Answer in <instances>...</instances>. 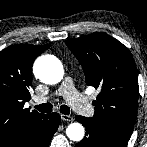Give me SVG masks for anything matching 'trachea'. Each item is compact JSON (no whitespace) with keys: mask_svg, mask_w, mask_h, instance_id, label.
Returning a JSON list of instances; mask_svg holds the SVG:
<instances>
[{"mask_svg":"<svg viewBox=\"0 0 147 147\" xmlns=\"http://www.w3.org/2000/svg\"><path fill=\"white\" fill-rule=\"evenodd\" d=\"M35 109L42 113H49L52 112L53 105L51 103H43L40 105L35 106ZM60 112L65 115H69L70 113V108L67 105H61L60 106Z\"/></svg>","mask_w":147,"mask_h":147,"instance_id":"obj_1","label":"trachea"}]
</instances>
